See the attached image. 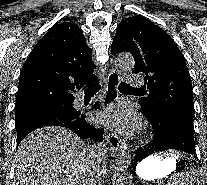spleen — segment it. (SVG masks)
<instances>
[{
    "instance_id": "spleen-1",
    "label": "spleen",
    "mask_w": 207,
    "mask_h": 185,
    "mask_svg": "<svg viewBox=\"0 0 207 185\" xmlns=\"http://www.w3.org/2000/svg\"><path fill=\"white\" fill-rule=\"evenodd\" d=\"M200 179L201 174H198V170H190V166H185L179 174H172L169 185H197Z\"/></svg>"
}]
</instances>
